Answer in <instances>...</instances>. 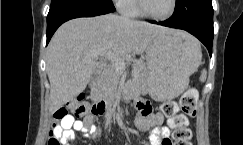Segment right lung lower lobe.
<instances>
[{
    "mask_svg": "<svg viewBox=\"0 0 243 145\" xmlns=\"http://www.w3.org/2000/svg\"><path fill=\"white\" fill-rule=\"evenodd\" d=\"M111 0H52L47 16V44L57 28L73 18L114 12Z\"/></svg>",
    "mask_w": 243,
    "mask_h": 145,
    "instance_id": "98d812e1",
    "label": "right lung lower lobe"
}]
</instances>
